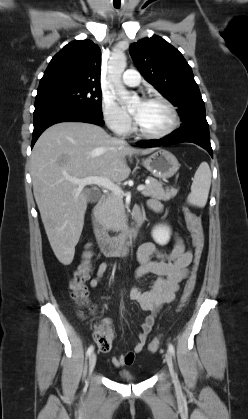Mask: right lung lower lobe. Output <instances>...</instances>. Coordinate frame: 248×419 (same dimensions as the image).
Masks as SVG:
<instances>
[{"label":"right lung lower lobe","mask_w":248,"mask_h":419,"mask_svg":"<svg viewBox=\"0 0 248 419\" xmlns=\"http://www.w3.org/2000/svg\"><path fill=\"white\" fill-rule=\"evenodd\" d=\"M87 122L99 126L104 125L103 116L96 115L89 110L76 105H51L37 108L34 111V131L32 145L49 126L59 122Z\"/></svg>","instance_id":"98d812e1"}]
</instances>
